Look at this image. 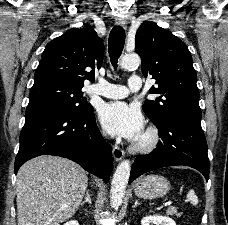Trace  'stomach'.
Wrapping results in <instances>:
<instances>
[{"label":"stomach","instance_id":"0dacf381","mask_svg":"<svg viewBox=\"0 0 228 225\" xmlns=\"http://www.w3.org/2000/svg\"><path fill=\"white\" fill-rule=\"evenodd\" d=\"M171 185L165 177L160 175H147L141 177L134 187V193L139 199H160L167 195Z\"/></svg>","mask_w":228,"mask_h":225}]
</instances>
